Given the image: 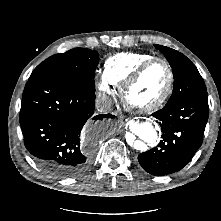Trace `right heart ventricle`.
<instances>
[{"label": "right heart ventricle", "instance_id": "right-heart-ventricle-1", "mask_svg": "<svg viewBox=\"0 0 221 221\" xmlns=\"http://www.w3.org/2000/svg\"><path fill=\"white\" fill-rule=\"evenodd\" d=\"M155 57L145 52L119 53L107 59L104 75L113 85H121L143 62Z\"/></svg>", "mask_w": 221, "mask_h": 221}]
</instances>
